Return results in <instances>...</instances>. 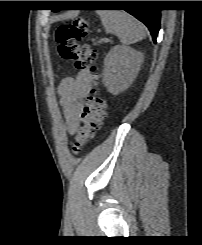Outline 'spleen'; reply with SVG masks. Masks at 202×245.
I'll use <instances>...</instances> for the list:
<instances>
[{
  "label": "spleen",
  "mask_w": 202,
  "mask_h": 245,
  "mask_svg": "<svg viewBox=\"0 0 202 245\" xmlns=\"http://www.w3.org/2000/svg\"><path fill=\"white\" fill-rule=\"evenodd\" d=\"M97 14L106 33L115 34L122 44L136 43L146 35L143 24L126 12L100 10Z\"/></svg>",
  "instance_id": "obj_1"
}]
</instances>
